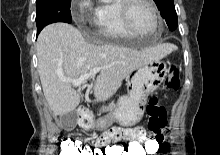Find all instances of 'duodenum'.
<instances>
[{"instance_id":"duodenum-1","label":"duodenum","mask_w":220,"mask_h":155,"mask_svg":"<svg viewBox=\"0 0 220 155\" xmlns=\"http://www.w3.org/2000/svg\"><path fill=\"white\" fill-rule=\"evenodd\" d=\"M78 120L81 124L86 123L90 118V112L85 107H79L77 110Z\"/></svg>"}]
</instances>
